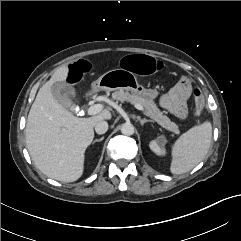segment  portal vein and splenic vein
Wrapping results in <instances>:
<instances>
[{"label": "portal vein and splenic vein", "mask_w": 241, "mask_h": 241, "mask_svg": "<svg viewBox=\"0 0 241 241\" xmlns=\"http://www.w3.org/2000/svg\"><path fill=\"white\" fill-rule=\"evenodd\" d=\"M135 107L138 110L144 111V107L140 104H135ZM102 109H103L102 104H95L88 108L87 113H88V115H95V114H98L99 112H101Z\"/></svg>", "instance_id": "obj_1"}]
</instances>
